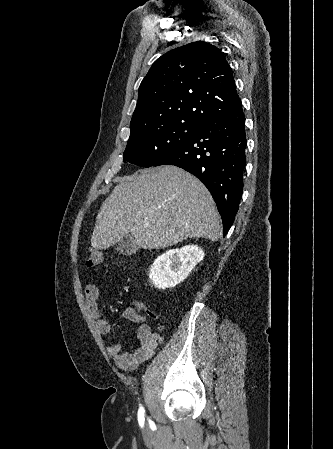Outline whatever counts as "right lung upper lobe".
Listing matches in <instances>:
<instances>
[{"mask_svg": "<svg viewBox=\"0 0 333 449\" xmlns=\"http://www.w3.org/2000/svg\"><path fill=\"white\" fill-rule=\"evenodd\" d=\"M240 101L220 49L197 41L157 59L141 82L130 138L173 122L202 124Z\"/></svg>", "mask_w": 333, "mask_h": 449, "instance_id": "obj_1", "label": "right lung upper lobe"}]
</instances>
